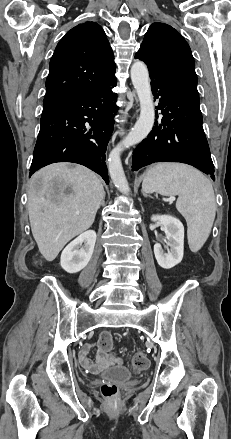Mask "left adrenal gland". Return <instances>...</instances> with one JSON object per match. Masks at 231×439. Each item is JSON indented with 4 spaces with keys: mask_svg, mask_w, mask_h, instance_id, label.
I'll list each match as a JSON object with an SVG mask.
<instances>
[{
    "mask_svg": "<svg viewBox=\"0 0 231 439\" xmlns=\"http://www.w3.org/2000/svg\"><path fill=\"white\" fill-rule=\"evenodd\" d=\"M143 195H144L145 197H147V195H146L145 193H143Z\"/></svg>",
    "mask_w": 231,
    "mask_h": 439,
    "instance_id": "1",
    "label": "left adrenal gland"
}]
</instances>
